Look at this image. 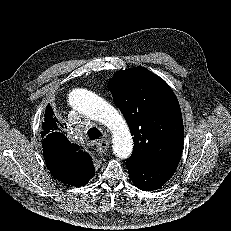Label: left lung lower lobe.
<instances>
[{
  "label": "left lung lower lobe",
  "instance_id": "left-lung-lower-lobe-1",
  "mask_svg": "<svg viewBox=\"0 0 231 231\" xmlns=\"http://www.w3.org/2000/svg\"><path fill=\"white\" fill-rule=\"evenodd\" d=\"M136 187L143 191L160 189L175 173L178 165L160 166L152 163H126Z\"/></svg>",
  "mask_w": 231,
  "mask_h": 231
}]
</instances>
